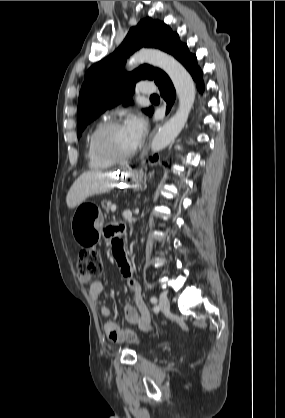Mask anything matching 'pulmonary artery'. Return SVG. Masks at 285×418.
<instances>
[{"instance_id":"e3ab8cb5","label":"pulmonary artery","mask_w":285,"mask_h":418,"mask_svg":"<svg viewBox=\"0 0 285 418\" xmlns=\"http://www.w3.org/2000/svg\"><path fill=\"white\" fill-rule=\"evenodd\" d=\"M156 90V87L153 85H144L139 88L140 94H150Z\"/></svg>"}]
</instances>
